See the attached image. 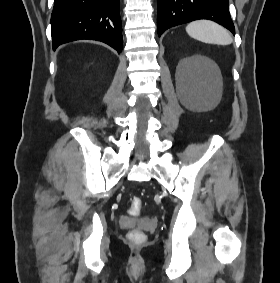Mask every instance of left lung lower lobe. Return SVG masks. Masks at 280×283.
Masks as SVG:
<instances>
[{"label": "left lung lower lobe", "instance_id": "0a47b994", "mask_svg": "<svg viewBox=\"0 0 280 283\" xmlns=\"http://www.w3.org/2000/svg\"><path fill=\"white\" fill-rule=\"evenodd\" d=\"M197 19L215 21L235 34V27L229 12V0L157 1V27L159 36L170 27Z\"/></svg>", "mask_w": 280, "mask_h": 283}]
</instances>
